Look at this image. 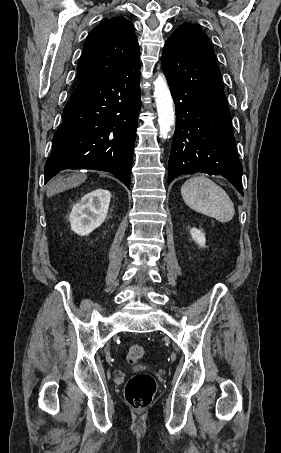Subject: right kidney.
<instances>
[{
  "instance_id": "obj_1",
  "label": "right kidney",
  "mask_w": 281,
  "mask_h": 453,
  "mask_svg": "<svg viewBox=\"0 0 281 453\" xmlns=\"http://www.w3.org/2000/svg\"><path fill=\"white\" fill-rule=\"evenodd\" d=\"M110 196L111 192L105 188H96L84 194L70 212L72 231L77 235H89L100 227L107 216Z\"/></svg>"
}]
</instances>
